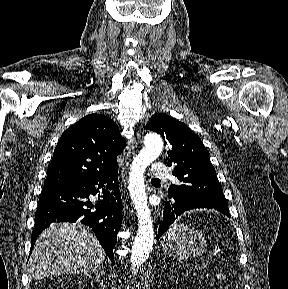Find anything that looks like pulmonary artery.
Masks as SVG:
<instances>
[{
    "label": "pulmonary artery",
    "instance_id": "pulmonary-artery-1",
    "mask_svg": "<svg viewBox=\"0 0 288 289\" xmlns=\"http://www.w3.org/2000/svg\"><path fill=\"white\" fill-rule=\"evenodd\" d=\"M152 174L159 179H167L170 177V171L162 162H155L151 166Z\"/></svg>",
    "mask_w": 288,
    "mask_h": 289
}]
</instances>
